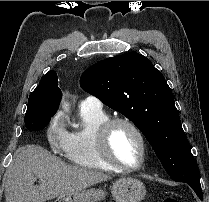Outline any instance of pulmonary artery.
<instances>
[{"mask_svg":"<svg viewBox=\"0 0 209 202\" xmlns=\"http://www.w3.org/2000/svg\"><path fill=\"white\" fill-rule=\"evenodd\" d=\"M79 107L86 109H101L102 102L95 96H87L80 100Z\"/></svg>","mask_w":209,"mask_h":202,"instance_id":"pulmonary-artery-1","label":"pulmonary artery"}]
</instances>
